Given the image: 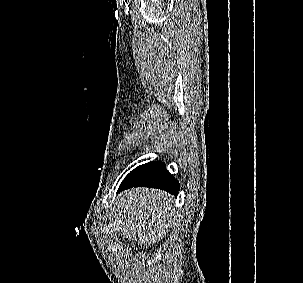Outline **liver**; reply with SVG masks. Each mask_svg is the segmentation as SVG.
<instances>
[{"label": "liver", "mask_w": 303, "mask_h": 283, "mask_svg": "<svg viewBox=\"0 0 303 283\" xmlns=\"http://www.w3.org/2000/svg\"><path fill=\"white\" fill-rule=\"evenodd\" d=\"M173 197L151 188L130 189L118 196L115 216L122 220L121 232L132 241L155 244L171 226Z\"/></svg>", "instance_id": "1"}]
</instances>
